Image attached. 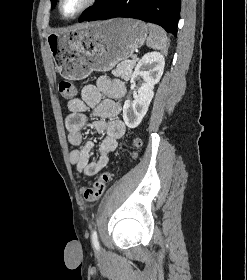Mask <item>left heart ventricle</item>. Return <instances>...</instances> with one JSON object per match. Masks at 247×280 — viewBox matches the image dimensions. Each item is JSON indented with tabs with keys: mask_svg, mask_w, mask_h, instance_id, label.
Instances as JSON below:
<instances>
[{
	"mask_svg": "<svg viewBox=\"0 0 247 280\" xmlns=\"http://www.w3.org/2000/svg\"><path fill=\"white\" fill-rule=\"evenodd\" d=\"M86 0H64L62 5V13L64 16L69 17L78 11Z\"/></svg>",
	"mask_w": 247,
	"mask_h": 280,
	"instance_id": "obj_1",
	"label": "left heart ventricle"
}]
</instances>
